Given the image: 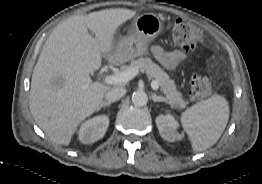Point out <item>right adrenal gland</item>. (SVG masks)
I'll use <instances>...</instances> for the list:
<instances>
[{
  "instance_id": "1",
  "label": "right adrenal gland",
  "mask_w": 262,
  "mask_h": 184,
  "mask_svg": "<svg viewBox=\"0 0 262 184\" xmlns=\"http://www.w3.org/2000/svg\"><path fill=\"white\" fill-rule=\"evenodd\" d=\"M111 105V102L103 101L100 106L98 107V110H100L102 107H109Z\"/></svg>"
}]
</instances>
